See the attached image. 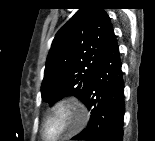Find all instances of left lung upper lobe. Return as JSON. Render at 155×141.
I'll return each mask as SVG.
<instances>
[{
  "label": "left lung upper lobe",
  "instance_id": "5c2ea615",
  "mask_svg": "<svg viewBox=\"0 0 155 141\" xmlns=\"http://www.w3.org/2000/svg\"><path fill=\"white\" fill-rule=\"evenodd\" d=\"M57 32L49 51L42 99L50 105L66 95L83 99L110 40L115 36L100 0H84Z\"/></svg>",
  "mask_w": 155,
  "mask_h": 141
}]
</instances>
